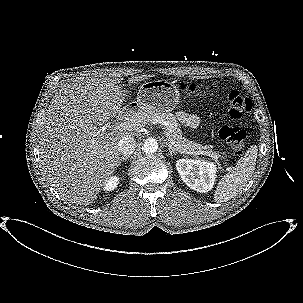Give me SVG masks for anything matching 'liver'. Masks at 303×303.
<instances>
[{
	"mask_svg": "<svg viewBox=\"0 0 303 303\" xmlns=\"http://www.w3.org/2000/svg\"><path fill=\"white\" fill-rule=\"evenodd\" d=\"M151 77H131L129 85ZM121 79L94 74L79 78L57 92L40 128L43 171L61 198L87 206L118 167V142L137 129L99 130L97 122L121 112L125 99ZM125 93V91H124Z\"/></svg>",
	"mask_w": 303,
	"mask_h": 303,
	"instance_id": "liver-1",
	"label": "liver"
}]
</instances>
